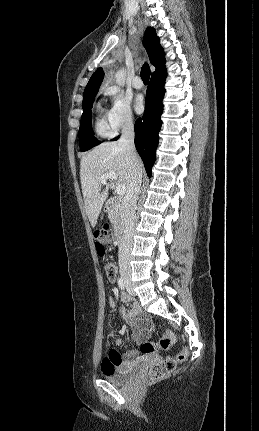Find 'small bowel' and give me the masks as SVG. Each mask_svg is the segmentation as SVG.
Segmentation results:
<instances>
[{
	"label": "small bowel",
	"mask_w": 259,
	"mask_h": 431,
	"mask_svg": "<svg viewBox=\"0 0 259 431\" xmlns=\"http://www.w3.org/2000/svg\"><path fill=\"white\" fill-rule=\"evenodd\" d=\"M124 302H128L126 297L123 298ZM107 304L111 311L115 314L116 302L113 297L107 299ZM123 316L126 318L128 325L135 331L136 337L141 339L143 333L151 329V324L147 319L137 318L138 310L136 308L124 309L122 311ZM123 340L119 339L118 344L122 343ZM138 353L135 349H130L125 355H122L116 349H110L107 351L105 357L102 360L101 368L103 372H111L117 367L126 364L130 359L136 358Z\"/></svg>",
	"instance_id": "obj_1"
}]
</instances>
